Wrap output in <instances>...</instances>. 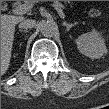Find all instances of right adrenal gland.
Segmentation results:
<instances>
[{"mask_svg": "<svg viewBox=\"0 0 109 109\" xmlns=\"http://www.w3.org/2000/svg\"><path fill=\"white\" fill-rule=\"evenodd\" d=\"M19 32H25V33H27L28 30H22V29H20Z\"/></svg>", "mask_w": 109, "mask_h": 109, "instance_id": "2a0ac1e0", "label": "right adrenal gland"}]
</instances>
